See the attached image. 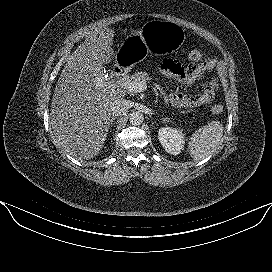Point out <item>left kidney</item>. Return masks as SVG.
Masks as SVG:
<instances>
[{"instance_id": "left-kidney-1", "label": "left kidney", "mask_w": 272, "mask_h": 272, "mask_svg": "<svg viewBox=\"0 0 272 272\" xmlns=\"http://www.w3.org/2000/svg\"><path fill=\"white\" fill-rule=\"evenodd\" d=\"M158 139L163 148L172 155H178L185 143L183 129L172 127L160 128L158 131Z\"/></svg>"}]
</instances>
